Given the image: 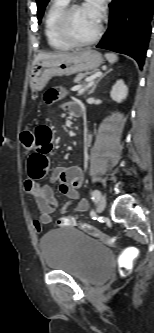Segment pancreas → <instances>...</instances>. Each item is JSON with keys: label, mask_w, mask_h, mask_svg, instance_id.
Listing matches in <instances>:
<instances>
[{"label": "pancreas", "mask_w": 154, "mask_h": 333, "mask_svg": "<svg viewBox=\"0 0 154 333\" xmlns=\"http://www.w3.org/2000/svg\"><path fill=\"white\" fill-rule=\"evenodd\" d=\"M89 74H91V73H89V72H86V73H80V74H78L75 78H74V82L75 83H79V82H81L84 78H86V76L87 75H89ZM83 87V86H82Z\"/></svg>", "instance_id": "obj_1"}]
</instances>
